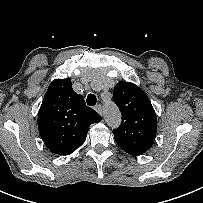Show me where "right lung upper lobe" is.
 <instances>
[{"label": "right lung upper lobe", "instance_id": "right-lung-upper-lobe-1", "mask_svg": "<svg viewBox=\"0 0 203 203\" xmlns=\"http://www.w3.org/2000/svg\"><path fill=\"white\" fill-rule=\"evenodd\" d=\"M101 119L86 106L82 96L74 92L70 79H55L42 101L38 129L52 153L69 155L84 143L90 124Z\"/></svg>", "mask_w": 203, "mask_h": 203}]
</instances>
